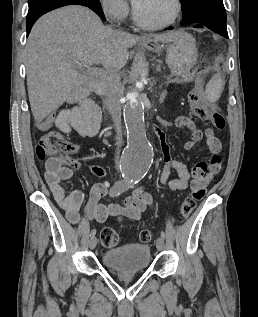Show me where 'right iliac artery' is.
<instances>
[{
  "label": "right iliac artery",
  "instance_id": "82829eb1",
  "mask_svg": "<svg viewBox=\"0 0 258 317\" xmlns=\"http://www.w3.org/2000/svg\"><path fill=\"white\" fill-rule=\"evenodd\" d=\"M133 186V182L131 178H124L118 180L114 183V185L110 189V196L116 197L122 194L123 192L127 191ZM96 234V229H93L90 233V236H94Z\"/></svg>",
  "mask_w": 258,
  "mask_h": 317
}]
</instances>
